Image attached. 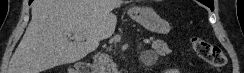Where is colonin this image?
Instances as JSON below:
<instances>
[{
	"label": "colon",
	"mask_w": 244,
	"mask_h": 73,
	"mask_svg": "<svg viewBox=\"0 0 244 73\" xmlns=\"http://www.w3.org/2000/svg\"><path fill=\"white\" fill-rule=\"evenodd\" d=\"M190 44L198 57L207 62L210 66L217 70H223L225 68L227 58L219 46L198 36H192L190 38Z\"/></svg>",
	"instance_id": "1"
}]
</instances>
